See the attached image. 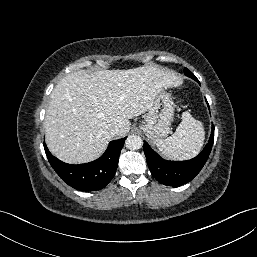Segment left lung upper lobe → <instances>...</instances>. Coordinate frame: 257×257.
Instances as JSON below:
<instances>
[{
    "instance_id": "obj_1",
    "label": "left lung upper lobe",
    "mask_w": 257,
    "mask_h": 257,
    "mask_svg": "<svg viewBox=\"0 0 257 257\" xmlns=\"http://www.w3.org/2000/svg\"><path fill=\"white\" fill-rule=\"evenodd\" d=\"M184 73L186 76L191 77L192 79L196 78L195 75L193 73H191V71L187 68L184 69Z\"/></svg>"
}]
</instances>
